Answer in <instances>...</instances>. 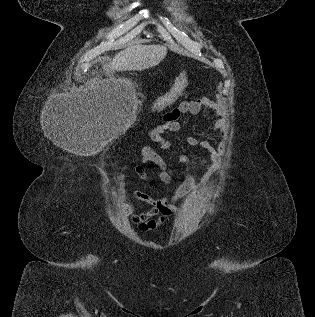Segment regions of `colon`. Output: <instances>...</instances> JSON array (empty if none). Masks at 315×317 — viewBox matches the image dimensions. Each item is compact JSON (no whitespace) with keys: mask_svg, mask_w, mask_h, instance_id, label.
<instances>
[{"mask_svg":"<svg viewBox=\"0 0 315 317\" xmlns=\"http://www.w3.org/2000/svg\"><path fill=\"white\" fill-rule=\"evenodd\" d=\"M189 80L190 79L187 73L181 74L177 79L173 89L158 103L157 108H164L170 105L187 87Z\"/></svg>","mask_w":315,"mask_h":317,"instance_id":"1","label":"colon"}]
</instances>
